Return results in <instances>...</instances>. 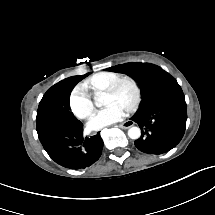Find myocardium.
<instances>
[{
	"label": "myocardium",
	"mask_w": 215,
	"mask_h": 215,
	"mask_svg": "<svg viewBox=\"0 0 215 215\" xmlns=\"http://www.w3.org/2000/svg\"><path fill=\"white\" fill-rule=\"evenodd\" d=\"M109 87H108L110 89L109 92L112 95L117 93L121 89H125L127 91V93H128V97L121 104L124 107L130 108V109L135 107V105L137 103V100H138V88H137V85L135 84V82L132 79H130L128 77L116 78L114 80L112 86L109 85Z\"/></svg>",
	"instance_id": "obj_1"
}]
</instances>
